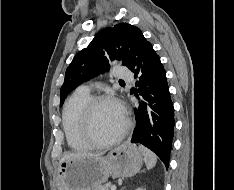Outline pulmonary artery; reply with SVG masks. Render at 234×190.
Masks as SVG:
<instances>
[{"label":"pulmonary artery","mask_w":234,"mask_h":190,"mask_svg":"<svg viewBox=\"0 0 234 190\" xmlns=\"http://www.w3.org/2000/svg\"><path fill=\"white\" fill-rule=\"evenodd\" d=\"M116 75H117V77L124 78V79L130 78V77H131V76H130V73H129V71H128V69L125 68V67H122V66H117V67H116ZM78 90H80V91H82V92H87V93L90 92L89 87H88V86H85V85L80 86V87L78 88Z\"/></svg>","instance_id":"1"}]
</instances>
